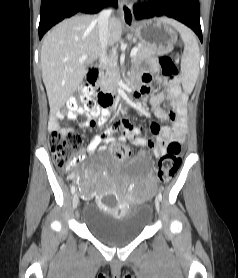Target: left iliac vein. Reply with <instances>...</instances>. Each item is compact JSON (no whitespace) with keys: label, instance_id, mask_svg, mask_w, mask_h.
Wrapping results in <instances>:
<instances>
[{"label":"left iliac vein","instance_id":"4c4485c4","mask_svg":"<svg viewBox=\"0 0 238 278\" xmlns=\"http://www.w3.org/2000/svg\"><path fill=\"white\" fill-rule=\"evenodd\" d=\"M155 208L159 212L160 204H159V200L158 199L155 200Z\"/></svg>","mask_w":238,"mask_h":278}]
</instances>
